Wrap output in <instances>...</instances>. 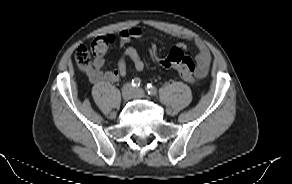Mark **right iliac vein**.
Returning a JSON list of instances; mask_svg holds the SVG:
<instances>
[{"mask_svg":"<svg viewBox=\"0 0 292 184\" xmlns=\"http://www.w3.org/2000/svg\"><path fill=\"white\" fill-rule=\"evenodd\" d=\"M133 88L130 84H125L122 88V98L127 101L133 97Z\"/></svg>","mask_w":292,"mask_h":184,"instance_id":"1","label":"right iliac vein"}]
</instances>
